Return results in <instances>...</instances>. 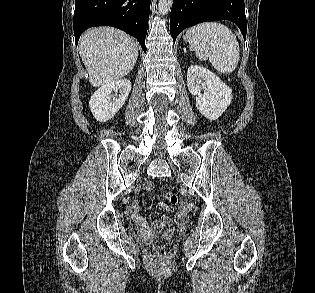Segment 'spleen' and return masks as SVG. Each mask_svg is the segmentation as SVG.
Segmentation results:
<instances>
[{
  "instance_id": "obj_1",
  "label": "spleen",
  "mask_w": 315,
  "mask_h": 293,
  "mask_svg": "<svg viewBox=\"0 0 315 293\" xmlns=\"http://www.w3.org/2000/svg\"><path fill=\"white\" fill-rule=\"evenodd\" d=\"M186 38L198 59H209L213 67L224 74L235 70L240 56L236 36L225 25L205 22L186 31Z\"/></svg>"
}]
</instances>
